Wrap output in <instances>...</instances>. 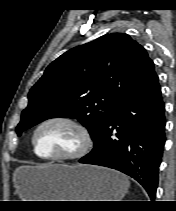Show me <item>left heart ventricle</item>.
<instances>
[{"mask_svg": "<svg viewBox=\"0 0 176 211\" xmlns=\"http://www.w3.org/2000/svg\"><path fill=\"white\" fill-rule=\"evenodd\" d=\"M36 146L43 156L71 154L79 147V136L73 128L66 124L52 123L38 132Z\"/></svg>", "mask_w": 176, "mask_h": 211, "instance_id": "b2bd125f", "label": "left heart ventricle"}]
</instances>
